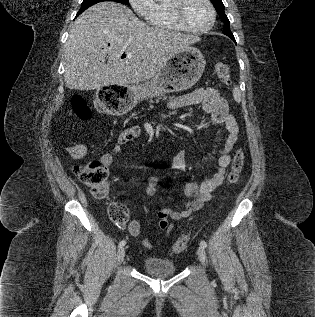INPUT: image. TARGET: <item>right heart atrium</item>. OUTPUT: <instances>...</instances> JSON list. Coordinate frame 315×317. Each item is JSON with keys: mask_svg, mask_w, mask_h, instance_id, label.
<instances>
[{"mask_svg": "<svg viewBox=\"0 0 315 317\" xmlns=\"http://www.w3.org/2000/svg\"><path fill=\"white\" fill-rule=\"evenodd\" d=\"M133 10L142 18L147 19L153 8V0H129Z\"/></svg>", "mask_w": 315, "mask_h": 317, "instance_id": "obj_1", "label": "right heart atrium"}]
</instances>
